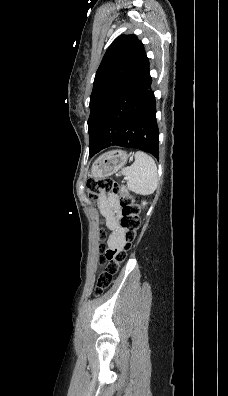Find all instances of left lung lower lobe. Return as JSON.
<instances>
[{
	"label": "left lung lower lobe",
	"mask_w": 228,
	"mask_h": 396,
	"mask_svg": "<svg viewBox=\"0 0 228 396\" xmlns=\"http://www.w3.org/2000/svg\"><path fill=\"white\" fill-rule=\"evenodd\" d=\"M149 65L121 95L114 107L126 99L129 103L120 114L109 120L98 132V152L117 145L136 148L159 158L156 102L151 89Z\"/></svg>",
	"instance_id": "0a47b994"
}]
</instances>
